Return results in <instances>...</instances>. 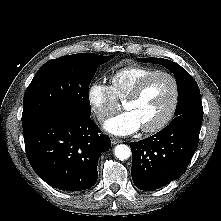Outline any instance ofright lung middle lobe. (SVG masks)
I'll return each mask as SVG.
<instances>
[{"label": "right lung middle lobe", "instance_id": "dd1d6c3e", "mask_svg": "<svg viewBox=\"0 0 221 221\" xmlns=\"http://www.w3.org/2000/svg\"><path fill=\"white\" fill-rule=\"evenodd\" d=\"M112 56L80 53L46 62L25 91L22 126L58 111L90 117L88 89L97 68Z\"/></svg>", "mask_w": 221, "mask_h": 221}]
</instances>
